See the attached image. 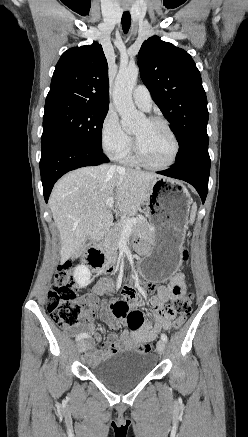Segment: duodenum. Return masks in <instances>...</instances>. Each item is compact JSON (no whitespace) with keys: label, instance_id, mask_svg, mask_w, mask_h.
I'll return each instance as SVG.
<instances>
[{"label":"duodenum","instance_id":"obj_1","mask_svg":"<svg viewBox=\"0 0 248 437\" xmlns=\"http://www.w3.org/2000/svg\"><path fill=\"white\" fill-rule=\"evenodd\" d=\"M102 256V242H99L88 250L85 256V261L90 264L91 262L102 258Z\"/></svg>","mask_w":248,"mask_h":437}]
</instances>
